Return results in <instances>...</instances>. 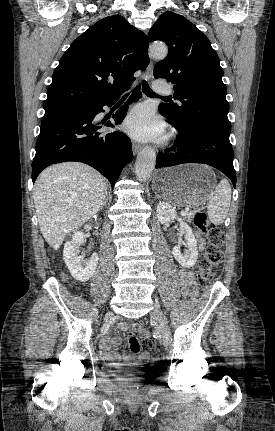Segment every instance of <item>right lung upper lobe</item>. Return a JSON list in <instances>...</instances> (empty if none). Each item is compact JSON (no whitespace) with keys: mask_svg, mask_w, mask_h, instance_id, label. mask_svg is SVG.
<instances>
[{"mask_svg":"<svg viewBox=\"0 0 275 431\" xmlns=\"http://www.w3.org/2000/svg\"><path fill=\"white\" fill-rule=\"evenodd\" d=\"M147 50L146 35L124 17L101 19L75 39L61 57L47 89L45 111L118 96L135 80V71L146 69Z\"/></svg>","mask_w":275,"mask_h":431,"instance_id":"right-lung-upper-lobe-1","label":"right lung upper lobe"}]
</instances>
